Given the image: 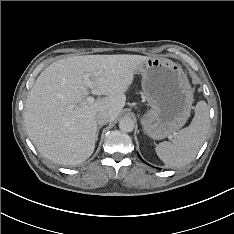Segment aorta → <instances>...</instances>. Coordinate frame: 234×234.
I'll list each match as a JSON object with an SVG mask.
<instances>
[{
	"instance_id": "1",
	"label": "aorta",
	"mask_w": 234,
	"mask_h": 234,
	"mask_svg": "<svg viewBox=\"0 0 234 234\" xmlns=\"http://www.w3.org/2000/svg\"><path fill=\"white\" fill-rule=\"evenodd\" d=\"M119 128L124 132H132L134 129V121L129 117H123L119 121Z\"/></svg>"
}]
</instances>
